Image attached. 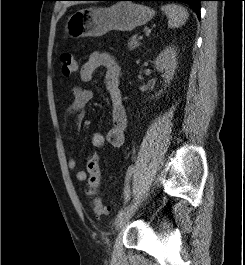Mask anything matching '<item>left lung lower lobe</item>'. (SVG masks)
Segmentation results:
<instances>
[{
  "instance_id": "left-lung-lower-lobe-1",
  "label": "left lung lower lobe",
  "mask_w": 245,
  "mask_h": 265,
  "mask_svg": "<svg viewBox=\"0 0 245 265\" xmlns=\"http://www.w3.org/2000/svg\"><path fill=\"white\" fill-rule=\"evenodd\" d=\"M94 1H181L187 3L200 18V1L203 0H94Z\"/></svg>"
}]
</instances>
